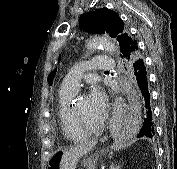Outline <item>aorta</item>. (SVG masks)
<instances>
[{"instance_id": "aorta-1", "label": "aorta", "mask_w": 177, "mask_h": 169, "mask_svg": "<svg viewBox=\"0 0 177 169\" xmlns=\"http://www.w3.org/2000/svg\"><path fill=\"white\" fill-rule=\"evenodd\" d=\"M98 46L105 48L110 54H115L118 52V49L115 44L106 37H96L89 43V47L91 49L96 48Z\"/></svg>"}]
</instances>
